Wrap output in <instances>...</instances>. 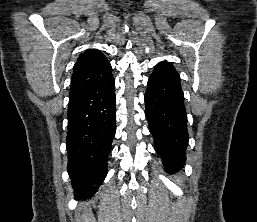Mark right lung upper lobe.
<instances>
[{
  "mask_svg": "<svg viewBox=\"0 0 257 222\" xmlns=\"http://www.w3.org/2000/svg\"><path fill=\"white\" fill-rule=\"evenodd\" d=\"M110 72L111 65L100 50H86L79 56L76 64L74 65L70 95L98 83Z\"/></svg>",
  "mask_w": 257,
  "mask_h": 222,
  "instance_id": "right-lung-upper-lobe-1",
  "label": "right lung upper lobe"
}]
</instances>
